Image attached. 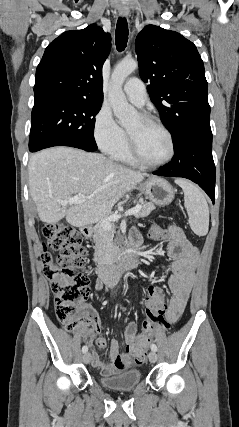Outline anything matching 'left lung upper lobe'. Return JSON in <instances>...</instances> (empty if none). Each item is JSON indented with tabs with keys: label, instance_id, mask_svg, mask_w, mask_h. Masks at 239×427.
<instances>
[{
	"label": "left lung upper lobe",
	"instance_id": "5c2ea615",
	"mask_svg": "<svg viewBox=\"0 0 239 427\" xmlns=\"http://www.w3.org/2000/svg\"><path fill=\"white\" fill-rule=\"evenodd\" d=\"M142 80L174 147L192 133H211L208 84L196 46L181 34L147 25L135 42Z\"/></svg>",
	"mask_w": 239,
	"mask_h": 427
}]
</instances>
